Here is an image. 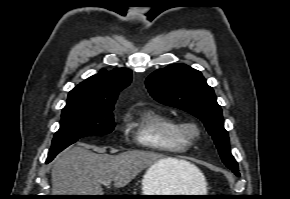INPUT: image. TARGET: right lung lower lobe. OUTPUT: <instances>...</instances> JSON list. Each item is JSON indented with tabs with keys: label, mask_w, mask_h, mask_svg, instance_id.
Masks as SVG:
<instances>
[{
	"label": "right lung lower lobe",
	"mask_w": 290,
	"mask_h": 199,
	"mask_svg": "<svg viewBox=\"0 0 290 199\" xmlns=\"http://www.w3.org/2000/svg\"><path fill=\"white\" fill-rule=\"evenodd\" d=\"M53 158H54V157H53ZM53 158L48 157L47 160H46V163H49Z\"/></svg>",
	"instance_id": "obj_1"
}]
</instances>
